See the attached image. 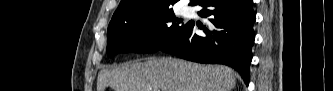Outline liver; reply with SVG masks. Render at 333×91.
I'll return each mask as SVG.
<instances>
[{"mask_svg":"<svg viewBox=\"0 0 333 91\" xmlns=\"http://www.w3.org/2000/svg\"><path fill=\"white\" fill-rule=\"evenodd\" d=\"M236 78L231 68L203 65L171 57L133 61L103 69L97 91H231Z\"/></svg>","mask_w":333,"mask_h":91,"instance_id":"6515ba94","label":"liver"}]
</instances>
